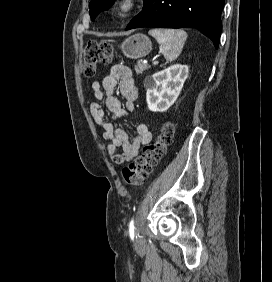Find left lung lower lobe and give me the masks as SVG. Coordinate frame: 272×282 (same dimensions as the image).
<instances>
[{
  "instance_id": "0a47b994",
  "label": "left lung lower lobe",
  "mask_w": 272,
  "mask_h": 282,
  "mask_svg": "<svg viewBox=\"0 0 272 282\" xmlns=\"http://www.w3.org/2000/svg\"><path fill=\"white\" fill-rule=\"evenodd\" d=\"M225 0H144L145 7L126 30L142 27H193L218 48Z\"/></svg>"
}]
</instances>
